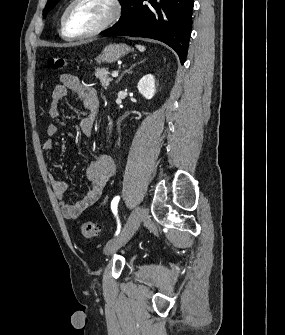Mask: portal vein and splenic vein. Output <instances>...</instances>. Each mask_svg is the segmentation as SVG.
I'll list each match as a JSON object with an SVG mask.
<instances>
[{
    "label": "portal vein and splenic vein",
    "mask_w": 285,
    "mask_h": 335,
    "mask_svg": "<svg viewBox=\"0 0 285 335\" xmlns=\"http://www.w3.org/2000/svg\"><path fill=\"white\" fill-rule=\"evenodd\" d=\"M112 76H113V78H117L118 72H113Z\"/></svg>",
    "instance_id": "1"
}]
</instances>
